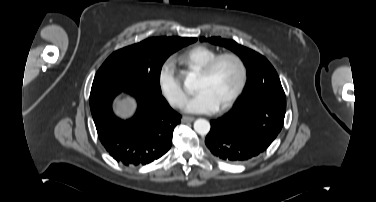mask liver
<instances>
[{
	"label": "liver",
	"mask_w": 376,
	"mask_h": 202,
	"mask_svg": "<svg viewBox=\"0 0 376 202\" xmlns=\"http://www.w3.org/2000/svg\"><path fill=\"white\" fill-rule=\"evenodd\" d=\"M136 110V102L132 98L118 100L116 103V114L122 119L133 116Z\"/></svg>",
	"instance_id": "6515ba94"
}]
</instances>
